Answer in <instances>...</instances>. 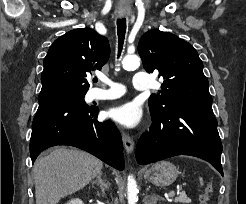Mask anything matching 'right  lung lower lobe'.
<instances>
[{"label": "right lung lower lobe", "mask_w": 246, "mask_h": 204, "mask_svg": "<svg viewBox=\"0 0 246 204\" xmlns=\"http://www.w3.org/2000/svg\"><path fill=\"white\" fill-rule=\"evenodd\" d=\"M98 108L86 105L84 98L60 95L39 100L32 123L30 155L32 162L46 148L70 145L83 149L118 170L124 169L119 131L109 122L97 121Z\"/></svg>", "instance_id": "98d812e1"}]
</instances>
